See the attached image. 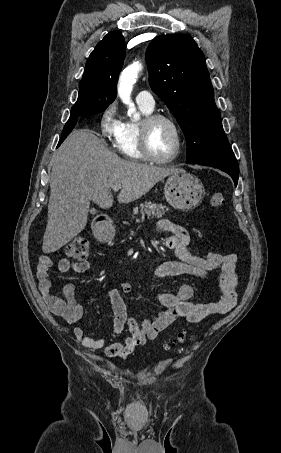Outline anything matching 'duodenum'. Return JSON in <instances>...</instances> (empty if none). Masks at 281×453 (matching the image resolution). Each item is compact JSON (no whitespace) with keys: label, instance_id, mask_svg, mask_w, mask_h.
Masks as SVG:
<instances>
[{"label":"duodenum","instance_id":"duodenum-1","mask_svg":"<svg viewBox=\"0 0 281 453\" xmlns=\"http://www.w3.org/2000/svg\"><path fill=\"white\" fill-rule=\"evenodd\" d=\"M109 226L110 222L107 219H102L98 221L94 227V232L96 236H98L99 238H105L108 233Z\"/></svg>","mask_w":281,"mask_h":453}]
</instances>
